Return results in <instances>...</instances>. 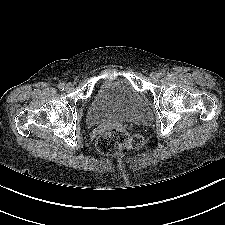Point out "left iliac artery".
<instances>
[{
  "label": "left iliac artery",
  "instance_id": "1",
  "mask_svg": "<svg viewBox=\"0 0 225 225\" xmlns=\"http://www.w3.org/2000/svg\"><path fill=\"white\" fill-rule=\"evenodd\" d=\"M160 74V77L164 76L165 75V71H162Z\"/></svg>",
  "mask_w": 225,
  "mask_h": 225
}]
</instances>
